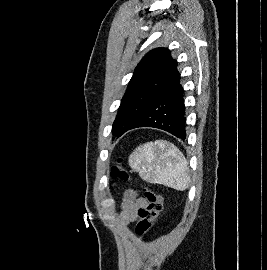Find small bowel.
I'll return each instance as SVG.
<instances>
[{
    "label": "small bowel",
    "mask_w": 267,
    "mask_h": 270,
    "mask_svg": "<svg viewBox=\"0 0 267 270\" xmlns=\"http://www.w3.org/2000/svg\"><path fill=\"white\" fill-rule=\"evenodd\" d=\"M146 205V200L141 197H137V194L133 190H129L125 193L124 202L121 212V220L124 225H129L135 222L138 218V213Z\"/></svg>",
    "instance_id": "obj_1"
}]
</instances>
